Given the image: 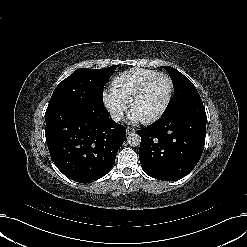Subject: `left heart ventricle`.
<instances>
[{"label":"left heart ventricle","mask_w":247,"mask_h":247,"mask_svg":"<svg viewBox=\"0 0 247 247\" xmlns=\"http://www.w3.org/2000/svg\"><path fill=\"white\" fill-rule=\"evenodd\" d=\"M168 92L165 79L161 78L152 83L142 94L134 106V113L140 117H148L160 110Z\"/></svg>","instance_id":"left-heart-ventricle-1"}]
</instances>
